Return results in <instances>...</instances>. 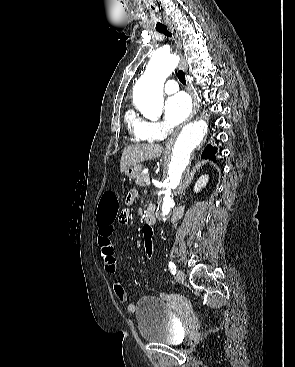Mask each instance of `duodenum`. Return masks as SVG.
Listing matches in <instances>:
<instances>
[{"instance_id": "1", "label": "duodenum", "mask_w": 295, "mask_h": 367, "mask_svg": "<svg viewBox=\"0 0 295 367\" xmlns=\"http://www.w3.org/2000/svg\"><path fill=\"white\" fill-rule=\"evenodd\" d=\"M156 221V209L155 206L150 205L145 212V222L153 224Z\"/></svg>"}]
</instances>
